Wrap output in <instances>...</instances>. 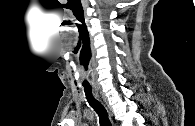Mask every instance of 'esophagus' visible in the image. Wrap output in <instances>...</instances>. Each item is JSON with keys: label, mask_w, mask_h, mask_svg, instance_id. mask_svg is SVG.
I'll return each instance as SVG.
<instances>
[{"label": "esophagus", "mask_w": 195, "mask_h": 126, "mask_svg": "<svg viewBox=\"0 0 195 126\" xmlns=\"http://www.w3.org/2000/svg\"><path fill=\"white\" fill-rule=\"evenodd\" d=\"M95 95H96V97H99V95H98V90L95 88Z\"/></svg>", "instance_id": "1"}]
</instances>
